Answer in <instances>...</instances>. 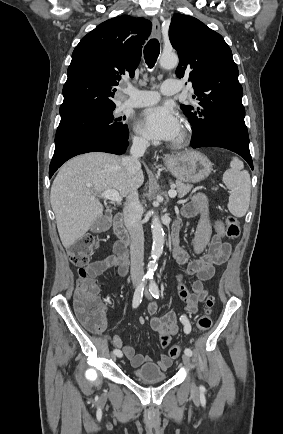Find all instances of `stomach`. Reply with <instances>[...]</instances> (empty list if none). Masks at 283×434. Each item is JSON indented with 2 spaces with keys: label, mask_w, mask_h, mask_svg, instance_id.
Listing matches in <instances>:
<instances>
[{
  "label": "stomach",
  "mask_w": 283,
  "mask_h": 434,
  "mask_svg": "<svg viewBox=\"0 0 283 434\" xmlns=\"http://www.w3.org/2000/svg\"><path fill=\"white\" fill-rule=\"evenodd\" d=\"M165 165L178 181L198 183L212 171L211 161L198 151H188L165 159Z\"/></svg>",
  "instance_id": "0dacf381"
}]
</instances>
